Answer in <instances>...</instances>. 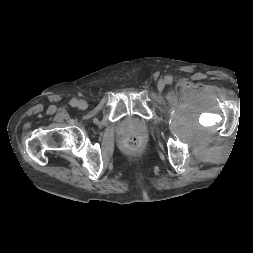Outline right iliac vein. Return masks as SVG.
<instances>
[{
	"label": "right iliac vein",
	"instance_id": "obj_1",
	"mask_svg": "<svg viewBox=\"0 0 253 253\" xmlns=\"http://www.w3.org/2000/svg\"><path fill=\"white\" fill-rule=\"evenodd\" d=\"M78 107L81 110H85L87 108V103L84 100H80L78 103Z\"/></svg>",
	"mask_w": 253,
	"mask_h": 253
}]
</instances>
